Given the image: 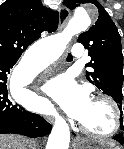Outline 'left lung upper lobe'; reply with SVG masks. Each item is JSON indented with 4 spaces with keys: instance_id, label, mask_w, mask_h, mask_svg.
<instances>
[{
    "instance_id": "5c2ea615",
    "label": "left lung upper lobe",
    "mask_w": 124,
    "mask_h": 149,
    "mask_svg": "<svg viewBox=\"0 0 124 149\" xmlns=\"http://www.w3.org/2000/svg\"><path fill=\"white\" fill-rule=\"evenodd\" d=\"M80 3H92L99 11V18L88 31L82 33L78 42L88 49L91 70L86 72L87 80L111 96L122 112L123 54L119 32L105 9L96 0H65L69 9ZM124 109V108H123ZM120 128L124 131L122 118Z\"/></svg>"
}]
</instances>
